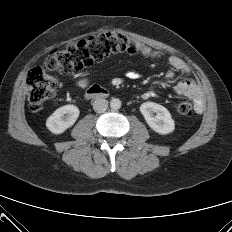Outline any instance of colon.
I'll return each instance as SVG.
<instances>
[{"label":"colon","mask_w":232,"mask_h":232,"mask_svg":"<svg viewBox=\"0 0 232 232\" xmlns=\"http://www.w3.org/2000/svg\"><path fill=\"white\" fill-rule=\"evenodd\" d=\"M142 53L156 57L157 52L121 32H108L99 36L82 38L51 52L42 65L32 68L27 75V95L30 108L38 111L46 101L56 94L59 82L50 71L69 74L89 68L114 53ZM182 116L193 114L187 100L177 106Z\"/></svg>","instance_id":"1"}]
</instances>
